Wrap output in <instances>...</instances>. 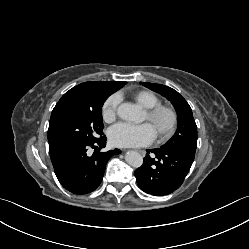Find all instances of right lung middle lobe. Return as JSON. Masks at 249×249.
Wrapping results in <instances>:
<instances>
[{
	"mask_svg": "<svg viewBox=\"0 0 249 249\" xmlns=\"http://www.w3.org/2000/svg\"><path fill=\"white\" fill-rule=\"evenodd\" d=\"M111 93L92 92L85 104L73 107L57 117L50 130L53 147L60 151L66 147L93 142L102 136V106Z\"/></svg>",
	"mask_w": 249,
	"mask_h": 249,
	"instance_id": "1",
	"label": "right lung middle lobe"
}]
</instances>
